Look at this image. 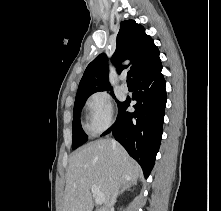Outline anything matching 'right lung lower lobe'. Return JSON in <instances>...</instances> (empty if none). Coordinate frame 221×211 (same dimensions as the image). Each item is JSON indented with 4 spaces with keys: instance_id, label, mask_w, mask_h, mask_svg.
I'll return each mask as SVG.
<instances>
[{
    "instance_id": "obj_1",
    "label": "right lung lower lobe",
    "mask_w": 221,
    "mask_h": 211,
    "mask_svg": "<svg viewBox=\"0 0 221 211\" xmlns=\"http://www.w3.org/2000/svg\"><path fill=\"white\" fill-rule=\"evenodd\" d=\"M161 63L153 69L136 76L132 100L134 113L126 111L131 99L118 107L117 119L103 135L113 131L115 139L142 167L148 177L160 147L164 111L166 106L165 80L161 74Z\"/></svg>"
}]
</instances>
